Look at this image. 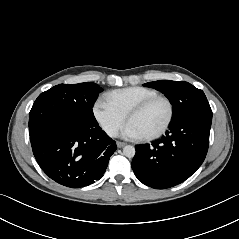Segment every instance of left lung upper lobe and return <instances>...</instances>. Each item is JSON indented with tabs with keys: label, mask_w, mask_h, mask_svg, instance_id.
Wrapping results in <instances>:
<instances>
[{
	"label": "left lung upper lobe",
	"mask_w": 239,
	"mask_h": 239,
	"mask_svg": "<svg viewBox=\"0 0 239 239\" xmlns=\"http://www.w3.org/2000/svg\"><path fill=\"white\" fill-rule=\"evenodd\" d=\"M144 85L161 91L170 100L173 105L172 121L195 112H211L204 92L188 82L160 80Z\"/></svg>",
	"instance_id": "5c2ea615"
}]
</instances>
